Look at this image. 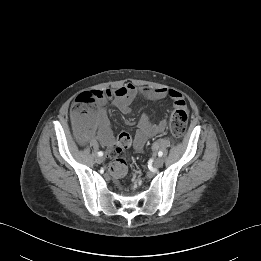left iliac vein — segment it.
<instances>
[{
  "label": "left iliac vein",
  "instance_id": "obj_1",
  "mask_svg": "<svg viewBox=\"0 0 261 261\" xmlns=\"http://www.w3.org/2000/svg\"><path fill=\"white\" fill-rule=\"evenodd\" d=\"M163 163H164V160L161 158V157H157L155 160H154V163H153V166L155 168H160L163 166Z\"/></svg>",
  "mask_w": 261,
  "mask_h": 261
}]
</instances>
